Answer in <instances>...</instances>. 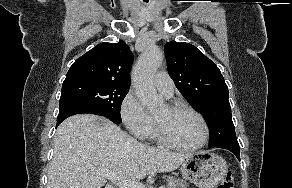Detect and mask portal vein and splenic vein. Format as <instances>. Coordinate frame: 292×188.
Masks as SVG:
<instances>
[{"mask_svg": "<svg viewBox=\"0 0 292 188\" xmlns=\"http://www.w3.org/2000/svg\"><path fill=\"white\" fill-rule=\"evenodd\" d=\"M93 173L97 175H101L106 179L110 180L114 184H116L119 188H145V186L137 181H132L124 176L118 175L110 170H100L93 169ZM159 188H165V186H160Z\"/></svg>", "mask_w": 292, "mask_h": 188, "instance_id": "obj_1", "label": "portal vein and splenic vein"}]
</instances>
